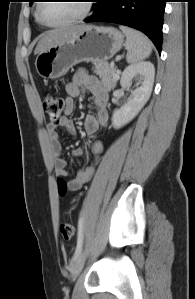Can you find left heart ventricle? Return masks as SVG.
Here are the masks:
<instances>
[{"label":"left heart ventricle","mask_w":195,"mask_h":299,"mask_svg":"<svg viewBox=\"0 0 195 299\" xmlns=\"http://www.w3.org/2000/svg\"><path fill=\"white\" fill-rule=\"evenodd\" d=\"M84 1H49L43 3L41 14L50 23H61L78 16Z\"/></svg>","instance_id":"obj_1"}]
</instances>
